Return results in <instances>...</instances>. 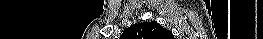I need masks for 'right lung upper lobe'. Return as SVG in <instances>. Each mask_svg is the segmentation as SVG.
<instances>
[{"mask_svg":"<svg viewBox=\"0 0 263 39\" xmlns=\"http://www.w3.org/2000/svg\"><path fill=\"white\" fill-rule=\"evenodd\" d=\"M123 34L136 39H172V33L154 21L132 25Z\"/></svg>","mask_w":263,"mask_h":39,"instance_id":"obj_1","label":"right lung upper lobe"}]
</instances>
